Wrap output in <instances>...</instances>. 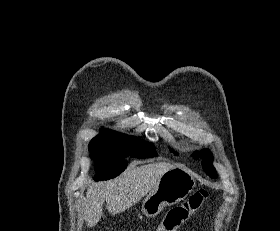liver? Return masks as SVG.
<instances>
[{
    "instance_id": "liver-1",
    "label": "liver",
    "mask_w": 280,
    "mask_h": 231,
    "mask_svg": "<svg viewBox=\"0 0 280 231\" xmlns=\"http://www.w3.org/2000/svg\"><path fill=\"white\" fill-rule=\"evenodd\" d=\"M172 167L173 165L165 163V161H156V163H147V165H138V167L131 165L116 179L89 185L82 203L87 225H96L101 219L105 199L110 213L125 211L140 201L146 193L155 189L160 177Z\"/></svg>"
}]
</instances>
